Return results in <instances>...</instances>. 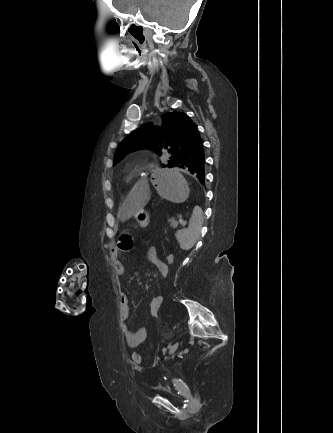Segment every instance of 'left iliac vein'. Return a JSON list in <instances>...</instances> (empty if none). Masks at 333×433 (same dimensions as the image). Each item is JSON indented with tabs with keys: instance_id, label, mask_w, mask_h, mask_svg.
<instances>
[{
	"instance_id": "1",
	"label": "left iliac vein",
	"mask_w": 333,
	"mask_h": 433,
	"mask_svg": "<svg viewBox=\"0 0 333 433\" xmlns=\"http://www.w3.org/2000/svg\"><path fill=\"white\" fill-rule=\"evenodd\" d=\"M178 346H179V343L176 342V343H175V344L170 348V350H169V355H173V354L176 352Z\"/></svg>"
}]
</instances>
